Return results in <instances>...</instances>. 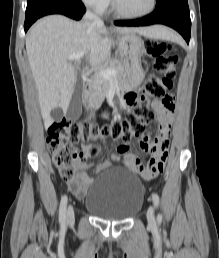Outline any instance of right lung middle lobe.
Instances as JSON below:
<instances>
[{
  "label": "right lung middle lobe",
  "mask_w": 219,
  "mask_h": 258,
  "mask_svg": "<svg viewBox=\"0 0 219 258\" xmlns=\"http://www.w3.org/2000/svg\"><path fill=\"white\" fill-rule=\"evenodd\" d=\"M45 0H27V9L26 11L32 9L34 6H36L37 4L43 2Z\"/></svg>",
  "instance_id": "1"
}]
</instances>
